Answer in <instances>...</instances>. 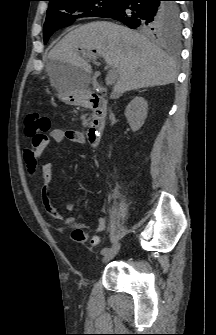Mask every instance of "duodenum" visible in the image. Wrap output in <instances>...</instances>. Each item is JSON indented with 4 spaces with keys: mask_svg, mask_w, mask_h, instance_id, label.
<instances>
[{
    "mask_svg": "<svg viewBox=\"0 0 216 335\" xmlns=\"http://www.w3.org/2000/svg\"><path fill=\"white\" fill-rule=\"evenodd\" d=\"M86 107L92 111V116L87 129V138L91 145L96 146L101 140L105 128L107 105L105 99L96 93L88 96Z\"/></svg>",
    "mask_w": 216,
    "mask_h": 335,
    "instance_id": "duodenum-1",
    "label": "duodenum"
}]
</instances>
